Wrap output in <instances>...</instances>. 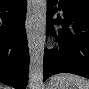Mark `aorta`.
<instances>
[{
  "label": "aorta",
  "mask_w": 89,
  "mask_h": 89,
  "mask_svg": "<svg viewBox=\"0 0 89 89\" xmlns=\"http://www.w3.org/2000/svg\"><path fill=\"white\" fill-rule=\"evenodd\" d=\"M33 34L30 45L29 89H44L43 57L46 38V0H33Z\"/></svg>",
  "instance_id": "aorta-1"
}]
</instances>
